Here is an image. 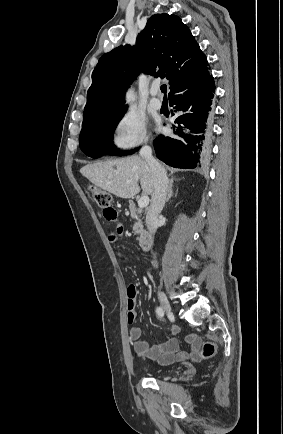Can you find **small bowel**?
Masks as SVG:
<instances>
[{"mask_svg": "<svg viewBox=\"0 0 283 434\" xmlns=\"http://www.w3.org/2000/svg\"><path fill=\"white\" fill-rule=\"evenodd\" d=\"M103 215L108 221H117V212L112 207L104 208ZM122 232V227L120 225L117 226L116 229L110 231L108 234V240L112 243L116 242L122 236ZM136 295V287L129 285L127 288V321L131 325L129 337L136 355L141 358L157 361L162 365L170 364L175 361H199L201 340L195 334H189L185 338V342L190 346V351H179V343L173 336L168 337L163 343L153 346L149 345L147 341L141 340L142 329L135 325L137 317L135 310ZM178 332L179 327L173 326L171 334L176 335Z\"/></svg>", "mask_w": 283, "mask_h": 434, "instance_id": "small-bowel-1", "label": "small bowel"}]
</instances>
